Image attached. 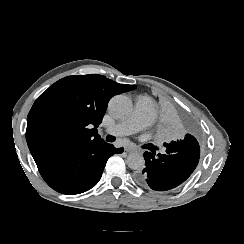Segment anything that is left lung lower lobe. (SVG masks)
<instances>
[{"label": "left lung lower lobe", "instance_id": "1", "mask_svg": "<svg viewBox=\"0 0 244 244\" xmlns=\"http://www.w3.org/2000/svg\"><path fill=\"white\" fill-rule=\"evenodd\" d=\"M190 131L193 132L191 128ZM164 146L165 154L144 153L146 167L135 175L140 186L157 191L170 190L183 183L195 170L200 146L194 135L186 134L181 140L164 143Z\"/></svg>", "mask_w": 244, "mask_h": 244}]
</instances>
